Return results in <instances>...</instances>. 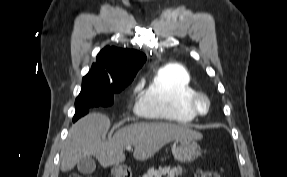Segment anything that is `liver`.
Segmentation results:
<instances>
[{"label": "liver", "mask_w": 287, "mask_h": 177, "mask_svg": "<svg viewBox=\"0 0 287 177\" xmlns=\"http://www.w3.org/2000/svg\"><path fill=\"white\" fill-rule=\"evenodd\" d=\"M109 128V118L100 113L88 114L72 125L60 154L61 171L72 170L85 156H94L103 167L118 165L125 161L124 148L127 146H134L136 160H147L173 140L202 139V134L186 126L139 122L120 128L106 140Z\"/></svg>", "instance_id": "6515ba94"}]
</instances>
